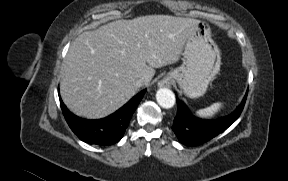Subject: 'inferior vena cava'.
I'll use <instances>...</instances> for the list:
<instances>
[{
	"mask_svg": "<svg viewBox=\"0 0 288 181\" xmlns=\"http://www.w3.org/2000/svg\"><path fill=\"white\" fill-rule=\"evenodd\" d=\"M144 84H145V80L143 78H139V79L135 80V82H134V85L137 88L142 87Z\"/></svg>",
	"mask_w": 288,
	"mask_h": 181,
	"instance_id": "602c4592",
	"label": "inferior vena cava"
}]
</instances>
